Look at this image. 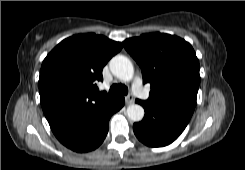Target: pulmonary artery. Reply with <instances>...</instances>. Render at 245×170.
<instances>
[{
	"label": "pulmonary artery",
	"instance_id": "e3ab8cb5",
	"mask_svg": "<svg viewBox=\"0 0 245 170\" xmlns=\"http://www.w3.org/2000/svg\"><path fill=\"white\" fill-rule=\"evenodd\" d=\"M132 88H133L134 93H136L137 95H139L140 98L144 99L145 93H144V88H143L141 79L136 78L133 81Z\"/></svg>",
	"mask_w": 245,
	"mask_h": 170
}]
</instances>
